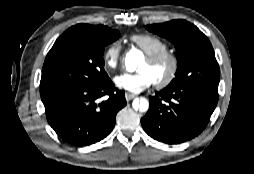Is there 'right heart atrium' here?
<instances>
[{
	"label": "right heart atrium",
	"instance_id": "right-heart-atrium-1",
	"mask_svg": "<svg viewBox=\"0 0 254 174\" xmlns=\"http://www.w3.org/2000/svg\"><path fill=\"white\" fill-rule=\"evenodd\" d=\"M121 61V45L119 42L109 44L103 52V62L109 69H115Z\"/></svg>",
	"mask_w": 254,
	"mask_h": 174
}]
</instances>
